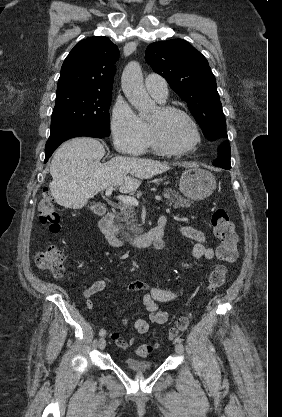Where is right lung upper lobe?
I'll return each instance as SVG.
<instances>
[{
  "label": "right lung upper lobe",
  "instance_id": "cb5924a9",
  "mask_svg": "<svg viewBox=\"0 0 282 417\" xmlns=\"http://www.w3.org/2000/svg\"><path fill=\"white\" fill-rule=\"evenodd\" d=\"M118 58V47L107 37L80 41L63 62L57 93L74 90L111 92Z\"/></svg>",
  "mask_w": 282,
  "mask_h": 417
}]
</instances>
